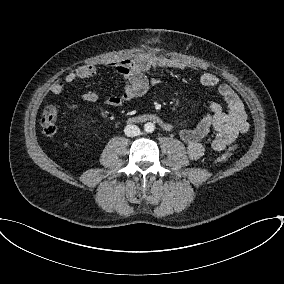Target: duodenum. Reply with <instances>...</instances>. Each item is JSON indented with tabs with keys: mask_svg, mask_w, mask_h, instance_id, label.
<instances>
[{
	"mask_svg": "<svg viewBox=\"0 0 284 284\" xmlns=\"http://www.w3.org/2000/svg\"><path fill=\"white\" fill-rule=\"evenodd\" d=\"M141 121H151V122H155L158 123L163 129L165 130H169L170 129V125L163 121L159 116H157L156 114H148V115H144L142 117L139 118Z\"/></svg>",
	"mask_w": 284,
	"mask_h": 284,
	"instance_id": "410a0bca",
	"label": "duodenum"
}]
</instances>
